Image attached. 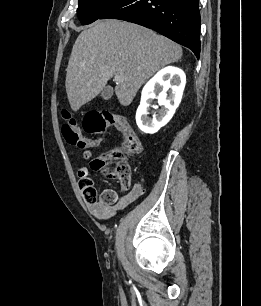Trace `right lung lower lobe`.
<instances>
[{
    "instance_id": "right-lung-lower-lobe-1",
    "label": "right lung lower lobe",
    "mask_w": 261,
    "mask_h": 306,
    "mask_svg": "<svg viewBox=\"0 0 261 306\" xmlns=\"http://www.w3.org/2000/svg\"><path fill=\"white\" fill-rule=\"evenodd\" d=\"M98 19H120L153 29L199 58V0H117Z\"/></svg>"
}]
</instances>
